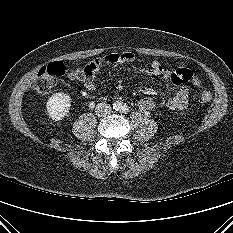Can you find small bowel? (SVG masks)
I'll return each instance as SVG.
<instances>
[{
  "mask_svg": "<svg viewBox=\"0 0 233 233\" xmlns=\"http://www.w3.org/2000/svg\"><path fill=\"white\" fill-rule=\"evenodd\" d=\"M136 59L132 52L125 51L120 53H111L95 59L97 61V67L95 72L103 66H109L113 64L132 63ZM94 72V73H95ZM190 71L185 68H179L175 71H170L163 67L158 61H152L150 68L144 71L142 74L149 77L152 81H170L177 87L175 94L167 100V107L171 110L183 111L188 103L189 88L185 84V74ZM94 73L84 79L83 84L87 90L95 89ZM155 106V102L150 97L141 98L137 102V107L143 112L152 110Z\"/></svg>",
  "mask_w": 233,
  "mask_h": 233,
  "instance_id": "c3829d8e",
  "label": "small bowel"
}]
</instances>
